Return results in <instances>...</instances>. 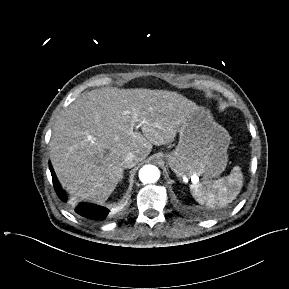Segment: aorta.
<instances>
[{
    "mask_svg": "<svg viewBox=\"0 0 289 289\" xmlns=\"http://www.w3.org/2000/svg\"><path fill=\"white\" fill-rule=\"evenodd\" d=\"M160 177V171L156 166L145 165L139 170V179L144 184L154 183Z\"/></svg>",
    "mask_w": 289,
    "mask_h": 289,
    "instance_id": "762f6f07",
    "label": "aorta"
}]
</instances>
